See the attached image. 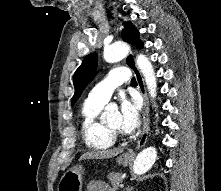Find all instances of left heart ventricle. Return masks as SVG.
Returning <instances> with one entry per match:
<instances>
[{
    "label": "left heart ventricle",
    "instance_id": "1",
    "mask_svg": "<svg viewBox=\"0 0 221 191\" xmlns=\"http://www.w3.org/2000/svg\"><path fill=\"white\" fill-rule=\"evenodd\" d=\"M108 124H109L111 127H114V128L119 129V128H120V114H119V113H115V114L110 118V120L108 121Z\"/></svg>",
    "mask_w": 221,
    "mask_h": 191
}]
</instances>
